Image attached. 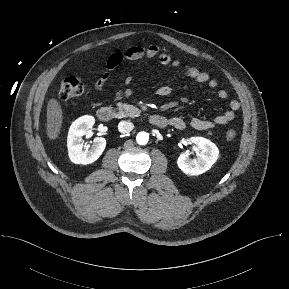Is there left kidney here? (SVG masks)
<instances>
[{
  "instance_id": "1",
  "label": "left kidney",
  "mask_w": 289,
  "mask_h": 289,
  "mask_svg": "<svg viewBox=\"0 0 289 289\" xmlns=\"http://www.w3.org/2000/svg\"><path fill=\"white\" fill-rule=\"evenodd\" d=\"M198 147L196 157L190 159L187 154H181L177 165L182 172L191 176L200 175L208 171L219 157L218 147L203 137H192L189 140Z\"/></svg>"
}]
</instances>
